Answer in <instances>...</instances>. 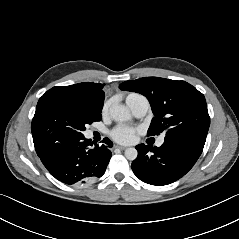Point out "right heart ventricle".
I'll return each instance as SVG.
<instances>
[{"label": "right heart ventricle", "mask_w": 239, "mask_h": 239, "mask_svg": "<svg viewBox=\"0 0 239 239\" xmlns=\"http://www.w3.org/2000/svg\"><path fill=\"white\" fill-rule=\"evenodd\" d=\"M139 94H136V93H131V94H129L128 96H127V98H126V102H128L130 99H132L133 97H135V96H138Z\"/></svg>", "instance_id": "e07e8e85"}]
</instances>
